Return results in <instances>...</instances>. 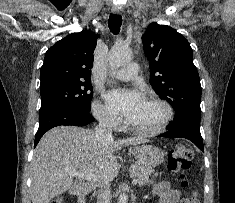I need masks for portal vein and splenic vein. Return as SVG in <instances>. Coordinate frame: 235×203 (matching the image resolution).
<instances>
[{
    "label": "portal vein and splenic vein",
    "instance_id": "1",
    "mask_svg": "<svg viewBox=\"0 0 235 203\" xmlns=\"http://www.w3.org/2000/svg\"><path fill=\"white\" fill-rule=\"evenodd\" d=\"M71 174L73 176H76L78 178H82L84 180H88V181H91V182L97 181L96 176L93 173H91V172H71ZM132 183L133 184H137V179L134 178Z\"/></svg>",
    "mask_w": 235,
    "mask_h": 203
}]
</instances>
